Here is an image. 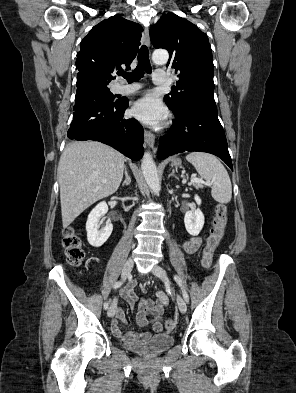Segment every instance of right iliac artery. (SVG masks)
Segmentation results:
<instances>
[{
  "label": "right iliac artery",
  "instance_id": "right-iliac-artery-1",
  "mask_svg": "<svg viewBox=\"0 0 296 393\" xmlns=\"http://www.w3.org/2000/svg\"><path fill=\"white\" fill-rule=\"evenodd\" d=\"M121 285H122V281H118V282H116V283L114 284L113 288H114V289H117V288H119ZM108 306H109V303H108V302H105V303H104V309H108Z\"/></svg>",
  "mask_w": 296,
  "mask_h": 393
}]
</instances>
